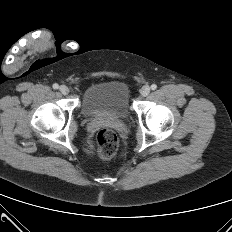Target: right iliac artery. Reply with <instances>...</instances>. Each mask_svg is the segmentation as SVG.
Masks as SVG:
<instances>
[{
	"instance_id": "obj_1",
	"label": "right iliac artery",
	"mask_w": 232,
	"mask_h": 232,
	"mask_svg": "<svg viewBox=\"0 0 232 232\" xmlns=\"http://www.w3.org/2000/svg\"><path fill=\"white\" fill-rule=\"evenodd\" d=\"M53 88L54 89H58L59 88V85L57 83L53 84Z\"/></svg>"
}]
</instances>
